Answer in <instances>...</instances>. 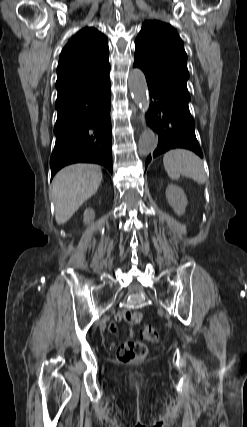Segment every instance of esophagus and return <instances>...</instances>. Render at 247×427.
<instances>
[{
  "instance_id": "obj_1",
  "label": "esophagus",
  "mask_w": 247,
  "mask_h": 427,
  "mask_svg": "<svg viewBox=\"0 0 247 427\" xmlns=\"http://www.w3.org/2000/svg\"><path fill=\"white\" fill-rule=\"evenodd\" d=\"M139 119H140V121H141V122H143V119H142V115H141V114H139Z\"/></svg>"
}]
</instances>
